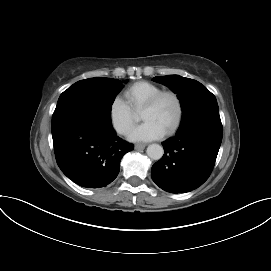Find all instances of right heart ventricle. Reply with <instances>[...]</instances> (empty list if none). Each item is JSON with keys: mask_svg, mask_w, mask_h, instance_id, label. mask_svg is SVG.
Returning <instances> with one entry per match:
<instances>
[{"mask_svg": "<svg viewBox=\"0 0 271 271\" xmlns=\"http://www.w3.org/2000/svg\"><path fill=\"white\" fill-rule=\"evenodd\" d=\"M161 90V87L154 83L139 81L132 84L124 91L125 102L133 111H139L151 96Z\"/></svg>", "mask_w": 271, "mask_h": 271, "instance_id": "1", "label": "right heart ventricle"}]
</instances>
